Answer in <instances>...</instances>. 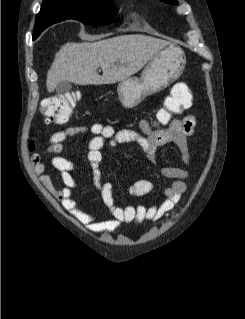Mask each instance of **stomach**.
Masks as SVG:
<instances>
[{
	"label": "stomach",
	"mask_w": 245,
	"mask_h": 319,
	"mask_svg": "<svg viewBox=\"0 0 245 319\" xmlns=\"http://www.w3.org/2000/svg\"><path fill=\"white\" fill-rule=\"evenodd\" d=\"M185 66L184 51L173 44L166 46L149 60L139 77H129L118 84L120 102L125 108L136 107L147 96L177 80Z\"/></svg>",
	"instance_id": "obj_1"
}]
</instances>
